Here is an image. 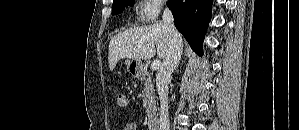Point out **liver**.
<instances>
[{
	"label": "liver",
	"instance_id": "liver-1",
	"mask_svg": "<svg viewBox=\"0 0 299 130\" xmlns=\"http://www.w3.org/2000/svg\"><path fill=\"white\" fill-rule=\"evenodd\" d=\"M169 51V36L163 23L132 27L113 36L109 43L108 62L111 71L122 58L147 60L157 52L165 59Z\"/></svg>",
	"mask_w": 299,
	"mask_h": 130
}]
</instances>
